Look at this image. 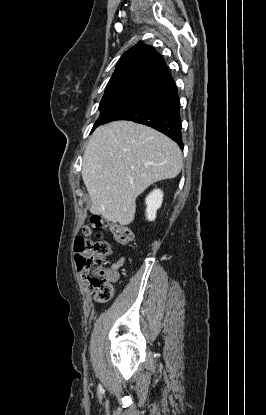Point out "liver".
I'll use <instances>...</instances> for the list:
<instances>
[{
	"label": "liver",
	"instance_id": "6515ba94",
	"mask_svg": "<svg viewBox=\"0 0 266 415\" xmlns=\"http://www.w3.org/2000/svg\"><path fill=\"white\" fill-rule=\"evenodd\" d=\"M182 166L178 145L150 127L131 121L100 126L83 156L90 212L128 225L135 217L137 196L155 182L175 178Z\"/></svg>",
	"mask_w": 266,
	"mask_h": 415
}]
</instances>
